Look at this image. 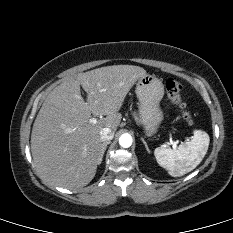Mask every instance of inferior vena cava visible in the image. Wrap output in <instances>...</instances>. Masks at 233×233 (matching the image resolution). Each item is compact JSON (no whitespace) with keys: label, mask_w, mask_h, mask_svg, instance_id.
I'll list each match as a JSON object with an SVG mask.
<instances>
[{"label":"inferior vena cava","mask_w":233,"mask_h":233,"mask_svg":"<svg viewBox=\"0 0 233 233\" xmlns=\"http://www.w3.org/2000/svg\"><path fill=\"white\" fill-rule=\"evenodd\" d=\"M114 137V132L110 128H103L100 132V138L103 142H110Z\"/></svg>","instance_id":"602c4592"}]
</instances>
